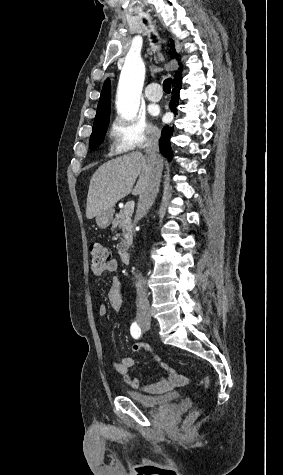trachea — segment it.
<instances>
[{
	"instance_id": "trachea-1",
	"label": "trachea",
	"mask_w": 283,
	"mask_h": 475,
	"mask_svg": "<svg viewBox=\"0 0 283 475\" xmlns=\"http://www.w3.org/2000/svg\"><path fill=\"white\" fill-rule=\"evenodd\" d=\"M144 23H147L146 20H144ZM153 42H157L156 38L152 36ZM171 83L172 79L171 78H166L163 82V90L164 92L170 93L171 90Z\"/></svg>"
}]
</instances>
